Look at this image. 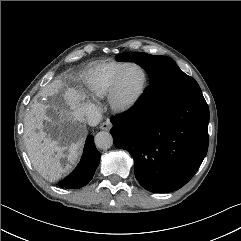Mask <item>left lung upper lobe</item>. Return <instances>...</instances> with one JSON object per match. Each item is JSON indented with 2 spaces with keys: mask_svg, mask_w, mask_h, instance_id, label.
Returning <instances> with one entry per match:
<instances>
[{
  "mask_svg": "<svg viewBox=\"0 0 241 241\" xmlns=\"http://www.w3.org/2000/svg\"><path fill=\"white\" fill-rule=\"evenodd\" d=\"M116 59L121 62H136L149 74L150 81L156 79L163 81L173 100L201 92L198 83L181 71L177 64L168 57L133 52L119 54Z\"/></svg>",
  "mask_w": 241,
  "mask_h": 241,
  "instance_id": "1",
  "label": "left lung upper lobe"
}]
</instances>
